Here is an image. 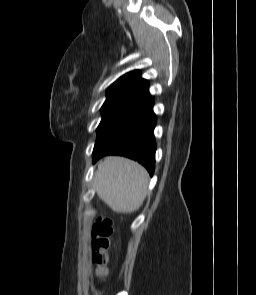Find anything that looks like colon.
Listing matches in <instances>:
<instances>
[{"label":"colon","instance_id":"1","mask_svg":"<svg viewBox=\"0 0 256 295\" xmlns=\"http://www.w3.org/2000/svg\"><path fill=\"white\" fill-rule=\"evenodd\" d=\"M112 233V221L109 219H98L91 229V259L96 267L98 285H102L109 274L108 249Z\"/></svg>","mask_w":256,"mask_h":295}]
</instances>
